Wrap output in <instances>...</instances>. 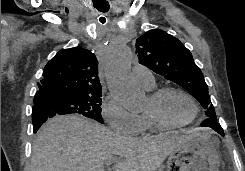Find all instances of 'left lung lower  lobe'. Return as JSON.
Segmentation results:
<instances>
[{"label": "left lung lower lobe", "instance_id": "0a47b994", "mask_svg": "<svg viewBox=\"0 0 245 171\" xmlns=\"http://www.w3.org/2000/svg\"><path fill=\"white\" fill-rule=\"evenodd\" d=\"M200 126H204V127H210L213 130H215L217 133L221 134L224 136V132L222 127L220 126V124L217 122V120H210V119H206L204 120Z\"/></svg>", "mask_w": 245, "mask_h": 171}]
</instances>
